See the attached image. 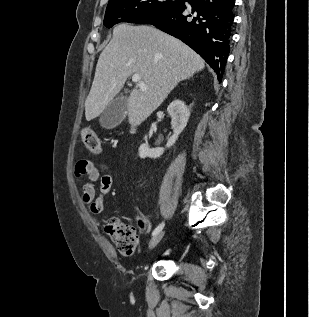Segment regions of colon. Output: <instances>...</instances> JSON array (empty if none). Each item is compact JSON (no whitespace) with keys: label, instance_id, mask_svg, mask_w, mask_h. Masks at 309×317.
I'll use <instances>...</instances> for the list:
<instances>
[{"label":"colon","instance_id":"obj_1","mask_svg":"<svg viewBox=\"0 0 309 317\" xmlns=\"http://www.w3.org/2000/svg\"><path fill=\"white\" fill-rule=\"evenodd\" d=\"M83 145L92 153H99L101 146L96 133L83 127L80 133ZM106 232L116 248L124 255H132L137 247V234L134 226L128 222L113 218L106 225Z\"/></svg>","mask_w":309,"mask_h":317}]
</instances>
